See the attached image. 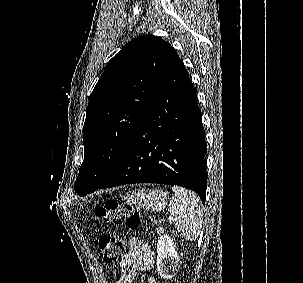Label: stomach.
<instances>
[{"label": "stomach", "mask_w": 303, "mask_h": 283, "mask_svg": "<svg viewBox=\"0 0 303 283\" xmlns=\"http://www.w3.org/2000/svg\"><path fill=\"white\" fill-rule=\"evenodd\" d=\"M125 200L150 212H160L168 202L167 193L163 190H137L125 197Z\"/></svg>", "instance_id": "0dacf381"}]
</instances>
